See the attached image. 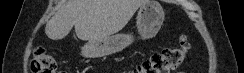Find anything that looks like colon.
<instances>
[{"instance_id":"obj_1","label":"colon","mask_w":244,"mask_h":73,"mask_svg":"<svg viewBox=\"0 0 244 73\" xmlns=\"http://www.w3.org/2000/svg\"><path fill=\"white\" fill-rule=\"evenodd\" d=\"M190 51L187 37L182 35L179 44L154 53L132 68L129 73H173L185 61ZM32 73H57L55 58L43 49H37L30 62Z\"/></svg>"}]
</instances>
